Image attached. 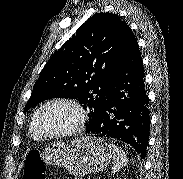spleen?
Returning <instances> with one entry per match:
<instances>
[{"mask_svg":"<svg viewBox=\"0 0 183 179\" xmlns=\"http://www.w3.org/2000/svg\"><path fill=\"white\" fill-rule=\"evenodd\" d=\"M109 150L112 153L113 166L112 173L118 172L121 168L127 165L128 160L125 152L114 144H109Z\"/></svg>","mask_w":183,"mask_h":179,"instance_id":"spleen-1","label":"spleen"}]
</instances>
